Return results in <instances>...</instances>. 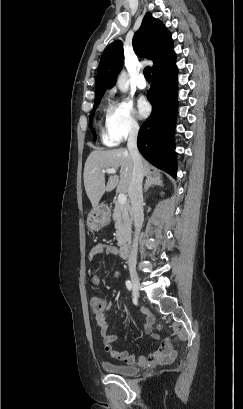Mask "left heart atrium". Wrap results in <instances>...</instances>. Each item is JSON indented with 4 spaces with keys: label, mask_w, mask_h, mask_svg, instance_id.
<instances>
[{
    "label": "left heart atrium",
    "mask_w": 243,
    "mask_h": 409,
    "mask_svg": "<svg viewBox=\"0 0 243 409\" xmlns=\"http://www.w3.org/2000/svg\"><path fill=\"white\" fill-rule=\"evenodd\" d=\"M150 109V105L145 99H140L138 101L137 112L140 117H146L150 113Z\"/></svg>",
    "instance_id": "39dd6f15"
}]
</instances>
